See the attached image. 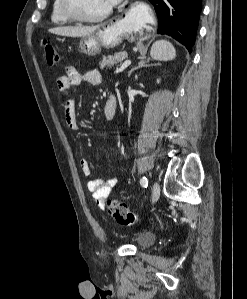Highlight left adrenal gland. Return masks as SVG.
Returning <instances> with one entry per match:
<instances>
[{"instance_id": "1", "label": "left adrenal gland", "mask_w": 247, "mask_h": 299, "mask_svg": "<svg viewBox=\"0 0 247 299\" xmlns=\"http://www.w3.org/2000/svg\"><path fill=\"white\" fill-rule=\"evenodd\" d=\"M150 60H146L145 58H141V60L139 61L138 65L133 67L129 72H128V77H130L131 73L139 68L142 67H151V66H157L159 64H149Z\"/></svg>"}]
</instances>
